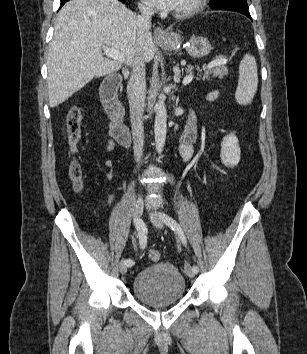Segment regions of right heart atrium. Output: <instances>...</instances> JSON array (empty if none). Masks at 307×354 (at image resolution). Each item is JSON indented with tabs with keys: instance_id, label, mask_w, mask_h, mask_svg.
<instances>
[{
	"instance_id": "obj_1",
	"label": "right heart atrium",
	"mask_w": 307,
	"mask_h": 354,
	"mask_svg": "<svg viewBox=\"0 0 307 354\" xmlns=\"http://www.w3.org/2000/svg\"><path fill=\"white\" fill-rule=\"evenodd\" d=\"M141 8L146 9V10L149 9L148 4L144 0L141 2Z\"/></svg>"
}]
</instances>
